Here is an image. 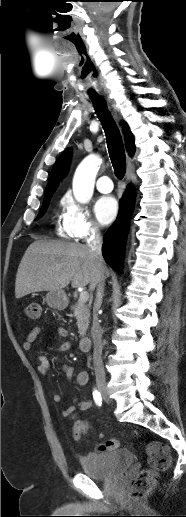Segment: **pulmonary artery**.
<instances>
[{"label":"pulmonary artery","instance_id":"obj_1","mask_svg":"<svg viewBox=\"0 0 186 517\" xmlns=\"http://www.w3.org/2000/svg\"><path fill=\"white\" fill-rule=\"evenodd\" d=\"M96 188L101 193H110L113 190V183L108 176L104 175L98 178Z\"/></svg>","mask_w":186,"mask_h":517}]
</instances>
